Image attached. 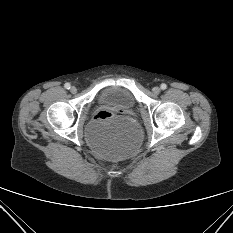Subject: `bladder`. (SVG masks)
<instances>
[{"label":"bladder","instance_id":"bladder-1","mask_svg":"<svg viewBox=\"0 0 233 233\" xmlns=\"http://www.w3.org/2000/svg\"><path fill=\"white\" fill-rule=\"evenodd\" d=\"M99 102L119 109L133 108L137 100L125 86H109L102 90ZM87 141L93 152L101 158L119 160L134 155L141 141V131L131 119L109 123L87 131Z\"/></svg>","mask_w":233,"mask_h":233}]
</instances>
